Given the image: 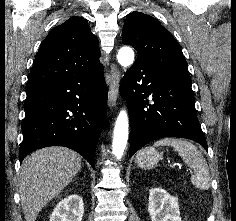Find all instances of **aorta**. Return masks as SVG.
<instances>
[{"label":"aorta","mask_w":236,"mask_h":221,"mask_svg":"<svg viewBox=\"0 0 236 221\" xmlns=\"http://www.w3.org/2000/svg\"><path fill=\"white\" fill-rule=\"evenodd\" d=\"M117 60L123 67H128L134 62V51L128 46L119 49ZM129 122L128 114L125 110L120 111L114 128L112 142V153L119 160L122 158L128 140Z\"/></svg>","instance_id":"1"}]
</instances>
